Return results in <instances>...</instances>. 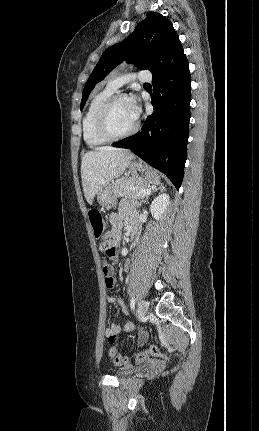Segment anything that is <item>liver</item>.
Instances as JSON below:
<instances>
[{"mask_svg":"<svg viewBox=\"0 0 259 431\" xmlns=\"http://www.w3.org/2000/svg\"><path fill=\"white\" fill-rule=\"evenodd\" d=\"M134 158V154L126 149L109 146L87 152L81 162L82 187L87 202L92 205L100 188L120 177Z\"/></svg>","mask_w":259,"mask_h":431,"instance_id":"obj_1","label":"liver"}]
</instances>
